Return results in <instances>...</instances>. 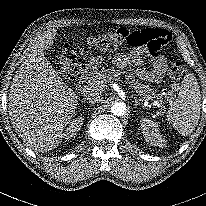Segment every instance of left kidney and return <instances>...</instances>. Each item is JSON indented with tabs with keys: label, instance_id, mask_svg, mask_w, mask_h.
<instances>
[{
	"label": "left kidney",
	"instance_id": "obj_1",
	"mask_svg": "<svg viewBox=\"0 0 206 206\" xmlns=\"http://www.w3.org/2000/svg\"><path fill=\"white\" fill-rule=\"evenodd\" d=\"M140 123L142 133L147 143L159 147L165 145L166 141L162 138V135H160L158 124L147 118L141 119Z\"/></svg>",
	"mask_w": 206,
	"mask_h": 206
}]
</instances>
